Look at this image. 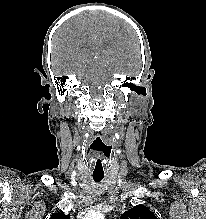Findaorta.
Returning a JSON list of instances; mask_svg holds the SVG:
<instances>
[{
  "mask_svg": "<svg viewBox=\"0 0 206 219\" xmlns=\"http://www.w3.org/2000/svg\"><path fill=\"white\" fill-rule=\"evenodd\" d=\"M85 219H104V215L101 213H92L88 215Z\"/></svg>",
  "mask_w": 206,
  "mask_h": 219,
  "instance_id": "obj_1",
  "label": "aorta"
}]
</instances>
